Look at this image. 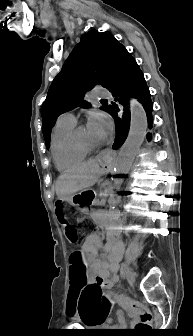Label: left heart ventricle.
<instances>
[{"instance_id":"1","label":"left heart ventricle","mask_w":193,"mask_h":336,"mask_svg":"<svg viewBox=\"0 0 193 336\" xmlns=\"http://www.w3.org/2000/svg\"><path fill=\"white\" fill-rule=\"evenodd\" d=\"M76 137L87 144L90 145H98L99 142L95 140V138L89 133L87 128H81L77 131Z\"/></svg>"}]
</instances>
